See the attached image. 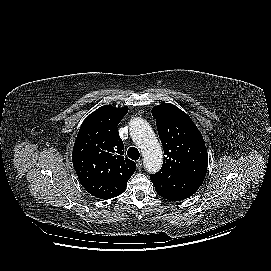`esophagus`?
I'll return each mask as SVG.
<instances>
[{
  "instance_id": "esophagus-1",
  "label": "esophagus",
  "mask_w": 271,
  "mask_h": 271,
  "mask_svg": "<svg viewBox=\"0 0 271 271\" xmlns=\"http://www.w3.org/2000/svg\"><path fill=\"white\" fill-rule=\"evenodd\" d=\"M136 166H137V169H138V170H141L142 167H143V162H142V160H138L137 163H136Z\"/></svg>"
}]
</instances>
